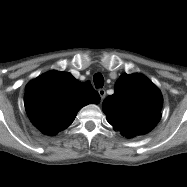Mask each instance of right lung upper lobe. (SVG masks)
I'll list each match as a JSON object with an SVG mask.
<instances>
[{"label":"right lung upper lobe","mask_w":187,"mask_h":187,"mask_svg":"<svg viewBox=\"0 0 187 187\" xmlns=\"http://www.w3.org/2000/svg\"><path fill=\"white\" fill-rule=\"evenodd\" d=\"M99 102V94L90 82H79L65 72L49 71L25 88L26 112L31 122L47 135L68 127L83 106Z\"/></svg>","instance_id":"obj_1"}]
</instances>
